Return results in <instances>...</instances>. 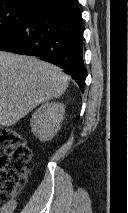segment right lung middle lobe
<instances>
[{"mask_svg":"<svg viewBox=\"0 0 128 213\" xmlns=\"http://www.w3.org/2000/svg\"><path fill=\"white\" fill-rule=\"evenodd\" d=\"M31 9L12 5L0 7V41L21 25Z\"/></svg>","mask_w":128,"mask_h":213,"instance_id":"right-lung-middle-lobe-1","label":"right lung middle lobe"}]
</instances>
